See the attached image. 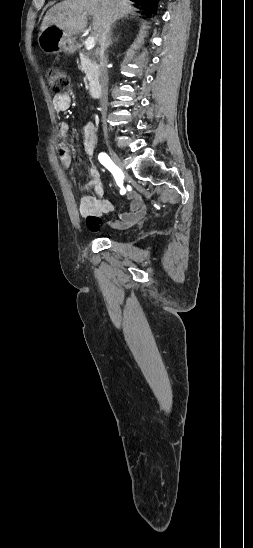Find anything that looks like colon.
Instances as JSON below:
<instances>
[{"instance_id": "colon-1", "label": "colon", "mask_w": 253, "mask_h": 548, "mask_svg": "<svg viewBox=\"0 0 253 548\" xmlns=\"http://www.w3.org/2000/svg\"><path fill=\"white\" fill-rule=\"evenodd\" d=\"M49 89L55 93H61L69 83L67 73L57 66H51L47 69L45 74Z\"/></svg>"}]
</instances>
